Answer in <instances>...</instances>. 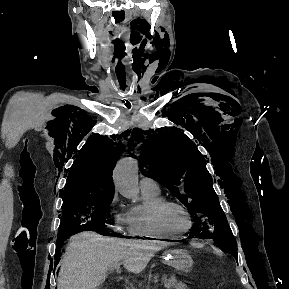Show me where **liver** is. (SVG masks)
<instances>
[{
  "label": "liver",
  "instance_id": "obj_1",
  "mask_svg": "<svg viewBox=\"0 0 289 289\" xmlns=\"http://www.w3.org/2000/svg\"><path fill=\"white\" fill-rule=\"evenodd\" d=\"M165 245L81 232L72 237L61 260L57 289H96L106 279L109 268L120 261L126 270L139 274Z\"/></svg>",
  "mask_w": 289,
  "mask_h": 289
}]
</instances>
